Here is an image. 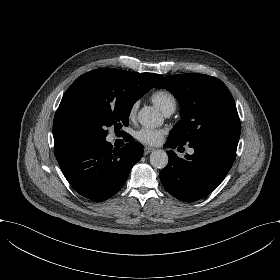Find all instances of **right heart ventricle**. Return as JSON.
<instances>
[{
  "instance_id": "obj_1",
  "label": "right heart ventricle",
  "mask_w": 280,
  "mask_h": 280,
  "mask_svg": "<svg viewBox=\"0 0 280 280\" xmlns=\"http://www.w3.org/2000/svg\"><path fill=\"white\" fill-rule=\"evenodd\" d=\"M150 100L158 105L164 113H172L177 105L175 95L167 89H157L150 95Z\"/></svg>"
}]
</instances>
